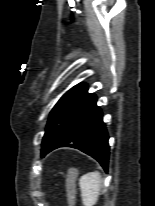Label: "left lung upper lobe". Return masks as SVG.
Masks as SVG:
<instances>
[{"instance_id":"obj_1","label":"left lung upper lobe","mask_w":155,"mask_h":206,"mask_svg":"<svg viewBox=\"0 0 155 206\" xmlns=\"http://www.w3.org/2000/svg\"><path fill=\"white\" fill-rule=\"evenodd\" d=\"M96 101V96L88 93L87 85L84 83L68 90L50 113L43 137L42 151L62 137Z\"/></svg>"}]
</instances>
